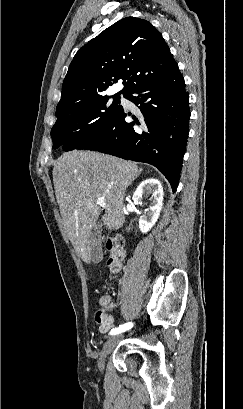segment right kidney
<instances>
[{
  "mask_svg": "<svg viewBox=\"0 0 243 409\" xmlns=\"http://www.w3.org/2000/svg\"><path fill=\"white\" fill-rule=\"evenodd\" d=\"M150 194V206L139 219L142 233H147L158 220L163 202V188L157 179H146L138 186L132 197L135 204L141 205L143 196Z\"/></svg>",
  "mask_w": 243,
  "mask_h": 409,
  "instance_id": "right-kidney-1",
  "label": "right kidney"
}]
</instances>
